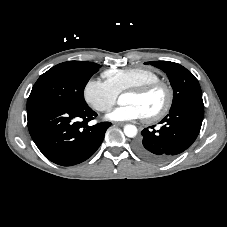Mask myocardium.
<instances>
[{"mask_svg":"<svg viewBox=\"0 0 227 227\" xmlns=\"http://www.w3.org/2000/svg\"><path fill=\"white\" fill-rule=\"evenodd\" d=\"M161 89L165 93V101L162 107L155 113L146 115L143 118L147 122H156L164 118L168 112L170 111L172 104H173V99H174V94L171 86L167 84L166 82L163 81H155L151 82L139 87H134L127 89L125 91V94H133L136 96H145L155 90Z\"/></svg>","mask_w":227,"mask_h":227,"instance_id":"myocardium-1","label":"myocardium"}]
</instances>
